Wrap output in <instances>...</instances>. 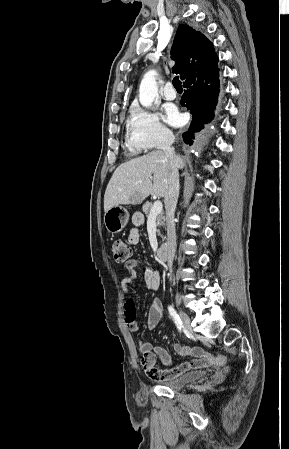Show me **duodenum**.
<instances>
[{"mask_svg":"<svg viewBox=\"0 0 289 449\" xmlns=\"http://www.w3.org/2000/svg\"><path fill=\"white\" fill-rule=\"evenodd\" d=\"M157 256L161 261H166L168 258V245L166 243L161 244L157 249Z\"/></svg>","mask_w":289,"mask_h":449,"instance_id":"obj_1","label":"duodenum"}]
</instances>
